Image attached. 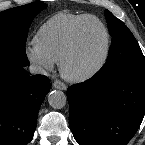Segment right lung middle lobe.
<instances>
[{"label":"right lung middle lobe","mask_w":145,"mask_h":145,"mask_svg":"<svg viewBox=\"0 0 145 145\" xmlns=\"http://www.w3.org/2000/svg\"><path fill=\"white\" fill-rule=\"evenodd\" d=\"M46 7L43 2H34L0 12V72L29 64L25 52L27 33L35 16Z\"/></svg>","instance_id":"1"}]
</instances>
